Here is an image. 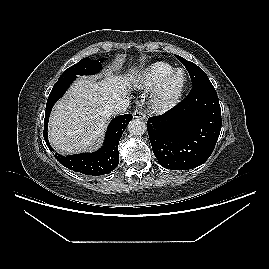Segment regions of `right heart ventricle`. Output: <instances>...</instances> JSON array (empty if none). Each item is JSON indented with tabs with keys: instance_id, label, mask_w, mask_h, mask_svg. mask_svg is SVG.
<instances>
[{
	"instance_id": "e07e8e85",
	"label": "right heart ventricle",
	"mask_w": 269,
	"mask_h": 269,
	"mask_svg": "<svg viewBox=\"0 0 269 269\" xmlns=\"http://www.w3.org/2000/svg\"><path fill=\"white\" fill-rule=\"evenodd\" d=\"M174 70V67L167 62H153L139 70L131 78L130 86L137 91H150Z\"/></svg>"
}]
</instances>
